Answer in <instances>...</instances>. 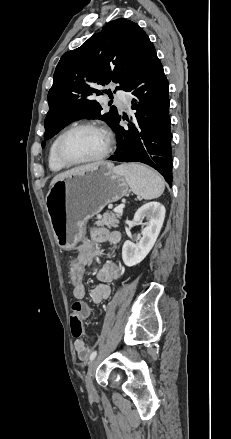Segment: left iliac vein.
<instances>
[{
  "label": "left iliac vein",
  "instance_id": "left-iliac-vein-1",
  "mask_svg": "<svg viewBox=\"0 0 231 439\" xmlns=\"http://www.w3.org/2000/svg\"><path fill=\"white\" fill-rule=\"evenodd\" d=\"M99 359L98 358H94L88 368V372L86 374V378H85V382H86V388L89 394L90 398H96L97 396V391L94 387L93 384V375H94V371L95 368L98 364Z\"/></svg>",
  "mask_w": 231,
  "mask_h": 439
}]
</instances>
